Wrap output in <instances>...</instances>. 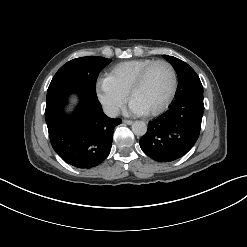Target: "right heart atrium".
<instances>
[{
  "mask_svg": "<svg viewBox=\"0 0 247 247\" xmlns=\"http://www.w3.org/2000/svg\"><path fill=\"white\" fill-rule=\"evenodd\" d=\"M95 91L99 102L110 115H116L127 99V92L108 76L98 79Z\"/></svg>",
  "mask_w": 247,
  "mask_h": 247,
  "instance_id": "right-heart-atrium-1",
  "label": "right heart atrium"
}]
</instances>
